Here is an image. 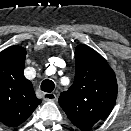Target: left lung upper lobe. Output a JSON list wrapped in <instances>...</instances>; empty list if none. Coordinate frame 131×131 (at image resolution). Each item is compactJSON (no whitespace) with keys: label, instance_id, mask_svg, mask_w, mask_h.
<instances>
[{"label":"left lung upper lobe","instance_id":"left-lung-upper-lobe-1","mask_svg":"<svg viewBox=\"0 0 131 131\" xmlns=\"http://www.w3.org/2000/svg\"><path fill=\"white\" fill-rule=\"evenodd\" d=\"M75 67L74 83L61 93L59 104L76 127L86 130L109 116L117 81L105 59L87 45L76 47Z\"/></svg>","mask_w":131,"mask_h":131}]
</instances>
